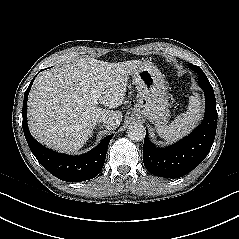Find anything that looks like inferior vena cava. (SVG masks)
<instances>
[{"mask_svg":"<svg viewBox=\"0 0 239 239\" xmlns=\"http://www.w3.org/2000/svg\"><path fill=\"white\" fill-rule=\"evenodd\" d=\"M110 120L111 119L107 116H101L97 119V122H102L103 124H109Z\"/></svg>","mask_w":239,"mask_h":239,"instance_id":"602c4592","label":"inferior vena cava"}]
</instances>
